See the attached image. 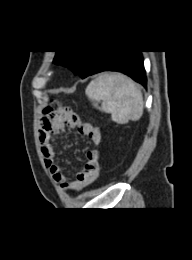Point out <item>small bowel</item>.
<instances>
[{"mask_svg":"<svg viewBox=\"0 0 192 260\" xmlns=\"http://www.w3.org/2000/svg\"><path fill=\"white\" fill-rule=\"evenodd\" d=\"M65 126L77 128L81 134L89 137L96 145L101 142V132L92 124L84 123L76 113L69 109L66 115L44 118L41 122L39 138L46 167L64 191L80 192L90 186L98 177L99 153L96 149L89 150L84 168L75 175L74 179L67 178L61 165L56 161V149L52 142L53 136L61 133Z\"/></svg>","mask_w":192,"mask_h":260,"instance_id":"obj_1","label":"small bowel"}]
</instances>
